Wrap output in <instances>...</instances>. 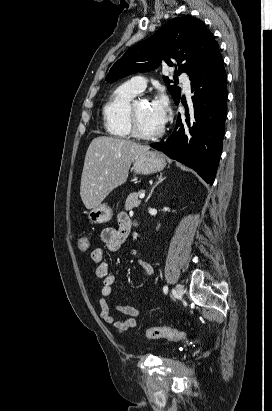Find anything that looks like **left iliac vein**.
<instances>
[{"instance_id": "left-iliac-vein-1", "label": "left iliac vein", "mask_w": 272, "mask_h": 411, "mask_svg": "<svg viewBox=\"0 0 272 411\" xmlns=\"http://www.w3.org/2000/svg\"><path fill=\"white\" fill-rule=\"evenodd\" d=\"M183 294H184L183 286L181 284H177L176 287H175V295L178 298H181L183 296Z\"/></svg>"}]
</instances>
